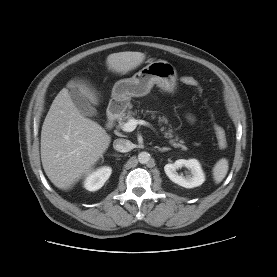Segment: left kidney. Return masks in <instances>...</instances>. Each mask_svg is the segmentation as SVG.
I'll return each instance as SVG.
<instances>
[{
	"instance_id": "left-kidney-1",
	"label": "left kidney",
	"mask_w": 277,
	"mask_h": 277,
	"mask_svg": "<svg viewBox=\"0 0 277 277\" xmlns=\"http://www.w3.org/2000/svg\"><path fill=\"white\" fill-rule=\"evenodd\" d=\"M186 167L190 170L191 175L182 176L177 173V169ZM164 171L169 179L185 188H194L202 185L205 181V175L201 165L196 159H179L174 163H169L164 166Z\"/></svg>"
}]
</instances>
